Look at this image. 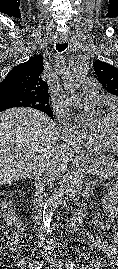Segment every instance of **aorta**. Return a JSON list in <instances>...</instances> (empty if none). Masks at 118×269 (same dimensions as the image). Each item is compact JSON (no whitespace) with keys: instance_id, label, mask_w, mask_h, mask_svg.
Masks as SVG:
<instances>
[{"instance_id":"762f6f07","label":"aorta","mask_w":118,"mask_h":269,"mask_svg":"<svg viewBox=\"0 0 118 269\" xmlns=\"http://www.w3.org/2000/svg\"><path fill=\"white\" fill-rule=\"evenodd\" d=\"M87 64L84 60L75 61L66 71L63 81L68 91H75L86 77ZM82 186V175L75 171L70 173L62 184L54 191L43 207L42 225L47 234L50 233L52 216L60 202L75 195Z\"/></svg>"}]
</instances>
